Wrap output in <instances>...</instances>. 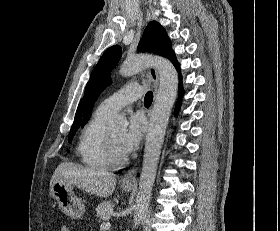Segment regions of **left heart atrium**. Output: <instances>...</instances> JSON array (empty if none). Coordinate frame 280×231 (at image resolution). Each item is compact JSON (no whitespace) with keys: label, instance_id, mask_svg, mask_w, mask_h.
<instances>
[{"label":"left heart atrium","instance_id":"1","mask_svg":"<svg viewBox=\"0 0 280 231\" xmlns=\"http://www.w3.org/2000/svg\"><path fill=\"white\" fill-rule=\"evenodd\" d=\"M145 126L140 116H132L127 128L118 139V147L123 154L133 151L141 142Z\"/></svg>","mask_w":280,"mask_h":231}]
</instances>
